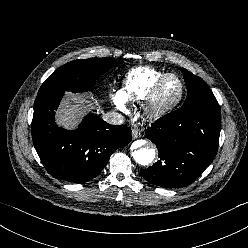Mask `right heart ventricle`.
<instances>
[{"label": "right heart ventricle", "mask_w": 248, "mask_h": 248, "mask_svg": "<svg viewBox=\"0 0 248 248\" xmlns=\"http://www.w3.org/2000/svg\"><path fill=\"white\" fill-rule=\"evenodd\" d=\"M166 72L151 67H137L132 69L121 91L126 100L143 101L149 96L153 86Z\"/></svg>", "instance_id": "e07e8e85"}]
</instances>
